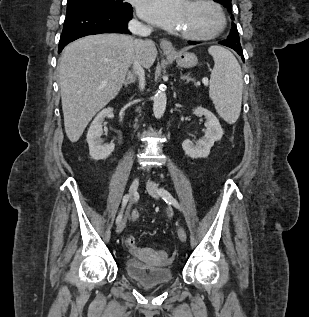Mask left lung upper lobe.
Returning <instances> with one entry per match:
<instances>
[{"label":"left lung upper lobe","mask_w":309,"mask_h":317,"mask_svg":"<svg viewBox=\"0 0 309 317\" xmlns=\"http://www.w3.org/2000/svg\"><path fill=\"white\" fill-rule=\"evenodd\" d=\"M214 1L221 3L224 7L228 9L229 12H232V3H231L232 0H214ZM231 19L234 20L233 15H231ZM227 39L234 43L240 44L238 30H237L236 24H234L233 22H232V29L230 31V35L227 37Z\"/></svg>","instance_id":"1"}]
</instances>
